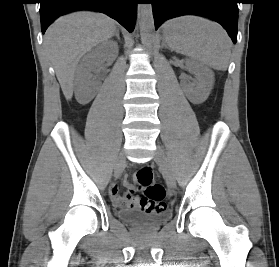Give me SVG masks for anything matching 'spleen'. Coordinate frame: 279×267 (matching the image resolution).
Returning a JSON list of instances; mask_svg holds the SVG:
<instances>
[{"instance_id":"spleen-1","label":"spleen","mask_w":279,"mask_h":267,"mask_svg":"<svg viewBox=\"0 0 279 267\" xmlns=\"http://www.w3.org/2000/svg\"><path fill=\"white\" fill-rule=\"evenodd\" d=\"M164 33L171 50L217 70L227 69L231 41L219 24L202 17L182 16L168 21Z\"/></svg>"}]
</instances>
